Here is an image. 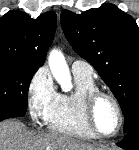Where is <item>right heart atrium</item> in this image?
<instances>
[{"label":"right heart atrium","mask_w":139,"mask_h":150,"mask_svg":"<svg viewBox=\"0 0 139 150\" xmlns=\"http://www.w3.org/2000/svg\"><path fill=\"white\" fill-rule=\"evenodd\" d=\"M56 94L54 84L45 69L37 70L28 87V109L33 120H44L46 111Z\"/></svg>","instance_id":"1"}]
</instances>
